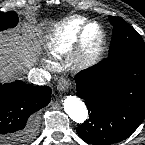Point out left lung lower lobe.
<instances>
[{"label":"left lung lower lobe","mask_w":145,"mask_h":145,"mask_svg":"<svg viewBox=\"0 0 145 145\" xmlns=\"http://www.w3.org/2000/svg\"><path fill=\"white\" fill-rule=\"evenodd\" d=\"M89 120L77 127L87 143L110 145L129 137L145 118V59L117 55L75 77Z\"/></svg>","instance_id":"1"}]
</instances>
